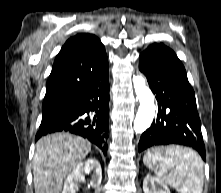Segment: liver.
Segmentation results:
<instances>
[{
	"mask_svg": "<svg viewBox=\"0 0 221 193\" xmlns=\"http://www.w3.org/2000/svg\"><path fill=\"white\" fill-rule=\"evenodd\" d=\"M90 151L89 141L69 133L39 139L33 158L35 193H60L66 176Z\"/></svg>",
	"mask_w": 221,
	"mask_h": 193,
	"instance_id": "liver-1",
	"label": "liver"
}]
</instances>
